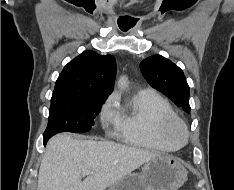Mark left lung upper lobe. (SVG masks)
I'll return each instance as SVG.
<instances>
[{"instance_id":"5c2ea615","label":"left lung upper lobe","mask_w":234,"mask_h":190,"mask_svg":"<svg viewBox=\"0 0 234 190\" xmlns=\"http://www.w3.org/2000/svg\"><path fill=\"white\" fill-rule=\"evenodd\" d=\"M140 69L147 82L177 106L190 112L189 86L183 71L170 60L160 56H151L140 63Z\"/></svg>"}]
</instances>
